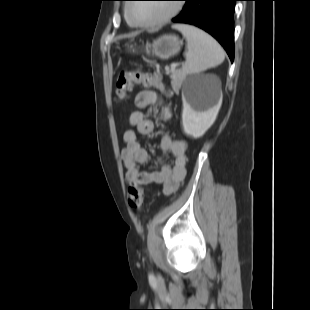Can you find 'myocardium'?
<instances>
[{"label":"myocardium","mask_w":310,"mask_h":310,"mask_svg":"<svg viewBox=\"0 0 310 310\" xmlns=\"http://www.w3.org/2000/svg\"><path fill=\"white\" fill-rule=\"evenodd\" d=\"M131 6H132V4H127L125 7L126 18L131 25L136 26V27H140V28L161 27L164 24H166L167 22H169L171 19H173L175 16H177L182 10V6L175 3V4H172V8H171L170 12L167 15H165L164 17L160 18L159 20L153 21V22H139V21L134 20L131 17V14H130V7Z\"/></svg>","instance_id":"myocardium-1"}]
</instances>
